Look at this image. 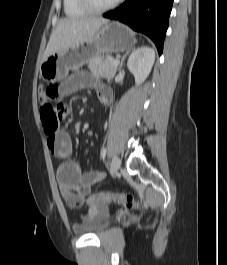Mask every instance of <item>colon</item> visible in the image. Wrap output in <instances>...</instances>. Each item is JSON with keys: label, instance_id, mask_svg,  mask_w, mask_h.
Wrapping results in <instances>:
<instances>
[{"label": "colon", "instance_id": "obj_1", "mask_svg": "<svg viewBox=\"0 0 227 265\" xmlns=\"http://www.w3.org/2000/svg\"><path fill=\"white\" fill-rule=\"evenodd\" d=\"M59 95V86L51 84L39 87L41 103V119L47 135H52L58 130L59 121L65 112H58L54 101ZM118 203L127 210H139L140 203L128 194H94L88 198V205L92 208L103 206L106 203Z\"/></svg>", "mask_w": 227, "mask_h": 265}]
</instances>
